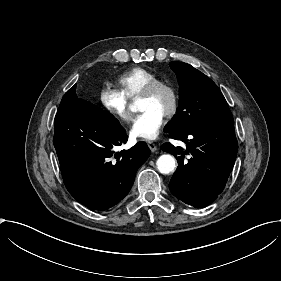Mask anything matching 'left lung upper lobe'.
<instances>
[{"mask_svg": "<svg viewBox=\"0 0 281 281\" xmlns=\"http://www.w3.org/2000/svg\"><path fill=\"white\" fill-rule=\"evenodd\" d=\"M179 82V106L165 126L167 133H178L196 126L233 120L228 104L216 84L189 64L171 62Z\"/></svg>", "mask_w": 281, "mask_h": 281, "instance_id": "1", "label": "left lung upper lobe"}]
</instances>
